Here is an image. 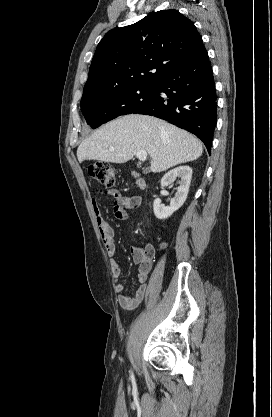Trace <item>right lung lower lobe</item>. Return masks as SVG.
<instances>
[{
  "mask_svg": "<svg viewBox=\"0 0 272 417\" xmlns=\"http://www.w3.org/2000/svg\"><path fill=\"white\" fill-rule=\"evenodd\" d=\"M154 83V96L133 113L164 119L195 134L210 152L217 121V96L204 45Z\"/></svg>",
  "mask_w": 272,
  "mask_h": 417,
  "instance_id": "1",
  "label": "right lung lower lobe"
}]
</instances>
